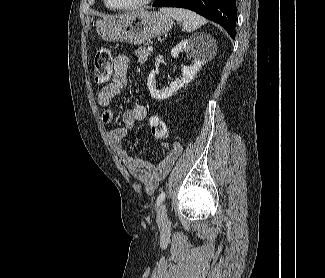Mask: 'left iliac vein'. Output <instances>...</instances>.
I'll list each match as a JSON object with an SVG mask.
<instances>
[{
	"label": "left iliac vein",
	"instance_id": "left-iliac-vein-1",
	"mask_svg": "<svg viewBox=\"0 0 325 278\" xmlns=\"http://www.w3.org/2000/svg\"><path fill=\"white\" fill-rule=\"evenodd\" d=\"M167 210L165 204H162L159 208L157 215V222L159 224H165L167 222Z\"/></svg>",
	"mask_w": 325,
	"mask_h": 278
}]
</instances>
